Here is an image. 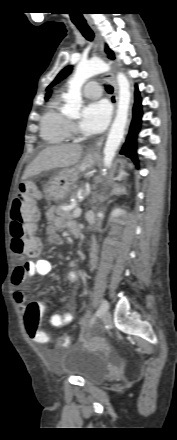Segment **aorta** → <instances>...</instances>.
<instances>
[{
  "label": "aorta",
  "instance_id": "obj_1",
  "mask_svg": "<svg viewBox=\"0 0 177 440\" xmlns=\"http://www.w3.org/2000/svg\"><path fill=\"white\" fill-rule=\"evenodd\" d=\"M109 69V65L100 59L79 62L73 77L68 83L64 113L77 115L82 105L81 88L83 84L92 76L104 73ZM117 83L119 87L118 108L104 148V166L106 168L111 166L115 153L124 137L131 100L130 83L124 73L117 74Z\"/></svg>",
  "mask_w": 177,
  "mask_h": 440
}]
</instances>
